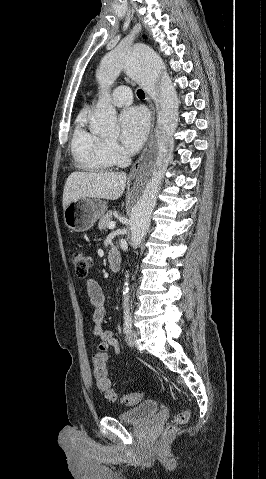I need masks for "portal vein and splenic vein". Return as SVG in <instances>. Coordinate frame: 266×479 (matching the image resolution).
Instances as JSON below:
<instances>
[{
	"label": "portal vein and splenic vein",
	"instance_id": "18ae733b",
	"mask_svg": "<svg viewBox=\"0 0 266 479\" xmlns=\"http://www.w3.org/2000/svg\"><path fill=\"white\" fill-rule=\"evenodd\" d=\"M108 228H109V229L115 228V223H114V222H109Z\"/></svg>",
	"mask_w": 266,
	"mask_h": 479
}]
</instances>
